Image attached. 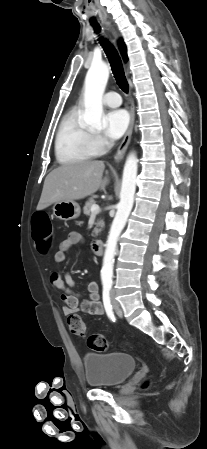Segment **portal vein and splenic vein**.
Here are the masks:
<instances>
[{
	"label": "portal vein and splenic vein",
	"instance_id": "18ae733b",
	"mask_svg": "<svg viewBox=\"0 0 207 449\" xmlns=\"http://www.w3.org/2000/svg\"><path fill=\"white\" fill-rule=\"evenodd\" d=\"M99 211H100V208H99V206L98 205H93L92 207H91V212L93 213V214H97V213H99Z\"/></svg>",
	"mask_w": 207,
	"mask_h": 449
}]
</instances>
